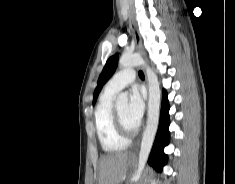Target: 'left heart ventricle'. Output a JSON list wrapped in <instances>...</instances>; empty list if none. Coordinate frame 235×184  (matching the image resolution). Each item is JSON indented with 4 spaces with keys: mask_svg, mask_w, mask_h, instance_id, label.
Segmentation results:
<instances>
[{
    "mask_svg": "<svg viewBox=\"0 0 235 184\" xmlns=\"http://www.w3.org/2000/svg\"><path fill=\"white\" fill-rule=\"evenodd\" d=\"M116 110L120 115L123 125L130 131L135 130L136 128L128 120V105L127 104L121 105Z\"/></svg>",
    "mask_w": 235,
    "mask_h": 184,
    "instance_id": "b2bd125f",
    "label": "left heart ventricle"
}]
</instances>
